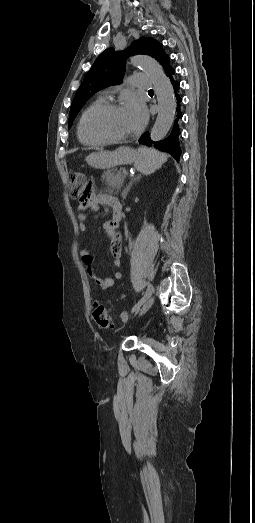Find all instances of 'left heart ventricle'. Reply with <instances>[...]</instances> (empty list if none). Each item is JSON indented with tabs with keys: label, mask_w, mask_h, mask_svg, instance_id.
Returning <instances> with one entry per match:
<instances>
[{
	"label": "left heart ventricle",
	"mask_w": 255,
	"mask_h": 523,
	"mask_svg": "<svg viewBox=\"0 0 255 523\" xmlns=\"http://www.w3.org/2000/svg\"><path fill=\"white\" fill-rule=\"evenodd\" d=\"M87 127L92 134L101 137L131 136L136 132L134 117L127 105L94 113Z\"/></svg>",
	"instance_id": "b2bd125f"
}]
</instances>
